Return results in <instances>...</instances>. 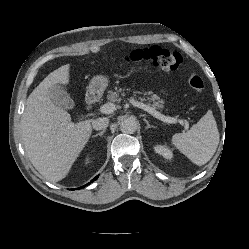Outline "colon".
<instances>
[{
  "instance_id": "colon-1",
  "label": "colon",
  "mask_w": 249,
  "mask_h": 249,
  "mask_svg": "<svg viewBox=\"0 0 249 249\" xmlns=\"http://www.w3.org/2000/svg\"><path fill=\"white\" fill-rule=\"evenodd\" d=\"M119 60L126 63L152 66L170 73H177L182 64V58L179 53L159 46L136 49ZM187 82L196 91H201L204 87L203 80L194 72L187 75Z\"/></svg>"
}]
</instances>
